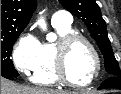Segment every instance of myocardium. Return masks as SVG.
<instances>
[{
    "mask_svg": "<svg viewBox=\"0 0 121 94\" xmlns=\"http://www.w3.org/2000/svg\"><path fill=\"white\" fill-rule=\"evenodd\" d=\"M76 42H82L88 47V49L91 51L94 57L95 64H96V69L93 77L88 82H85V83L74 82L70 78L67 71L68 51L70 47ZM54 60H55V74L57 79L61 83L70 87L80 88V87H87L92 85L98 79L102 69L101 58L95 46L92 44V42L89 39L76 33H72L70 35L64 36L58 40V42L55 45Z\"/></svg>",
    "mask_w": 121,
    "mask_h": 94,
    "instance_id": "1",
    "label": "myocardium"
}]
</instances>
